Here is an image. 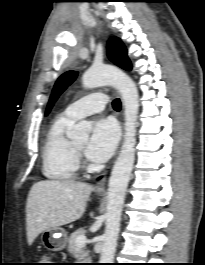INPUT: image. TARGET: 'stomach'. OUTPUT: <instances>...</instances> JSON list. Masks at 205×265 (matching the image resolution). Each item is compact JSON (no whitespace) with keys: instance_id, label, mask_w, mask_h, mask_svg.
<instances>
[{"instance_id":"obj_1","label":"stomach","mask_w":205,"mask_h":265,"mask_svg":"<svg viewBox=\"0 0 205 265\" xmlns=\"http://www.w3.org/2000/svg\"><path fill=\"white\" fill-rule=\"evenodd\" d=\"M42 243L50 251H61L67 244V233L61 228H51L42 233Z\"/></svg>"}]
</instances>
